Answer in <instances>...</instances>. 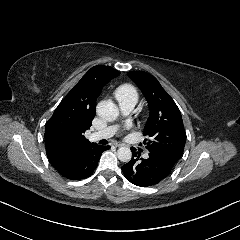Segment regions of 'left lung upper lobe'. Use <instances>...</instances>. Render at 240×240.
<instances>
[{
    "label": "left lung upper lobe",
    "mask_w": 240,
    "mask_h": 240,
    "mask_svg": "<svg viewBox=\"0 0 240 240\" xmlns=\"http://www.w3.org/2000/svg\"><path fill=\"white\" fill-rule=\"evenodd\" d=\"M128 76L137 84L148 101L150 117L144 127V135L151 140L147 142L146 148L176 163L183 154L186 142L179 108L151 74L130 71Z\"/></svg>",
    "instance_id": "1"
}]
</instances>
